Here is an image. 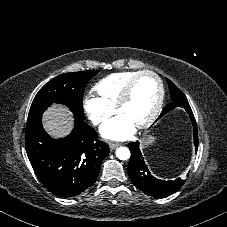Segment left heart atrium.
<instances>
[{
    "label": "left heart atrium",
    "mask_w": 227,
    "mask_h": 227,
    "mask_svg": "<svg viewBox=\"0 0 227 227\" xmlns=\"http://www.w3.org/2000/svg\"><path fill=\"white\" fill-rule=\"evenodd\" d=\"M134 124L124 115L119 114L108 119L101 127V135L110 140H123L134 133Z\"/></svg>",
    "instance_id": "1"
}]
</instances>
